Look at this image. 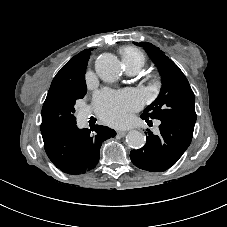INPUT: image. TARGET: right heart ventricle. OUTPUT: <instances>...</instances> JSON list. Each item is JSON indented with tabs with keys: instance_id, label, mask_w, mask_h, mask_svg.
<instances>
[{
	"instance_id": "right-heart-ventricle-1",
	"label": "right heart ventricle",
	"mask_w": 227,
	"mask_h": 227,
	"mask_svg": "<svg viewBox=\"0 0 227 227\" xmlns=\"http://www.w3.org/2000/svg\"><path fill=\"white\" fill-rule=\"evenodd\" d=\"M120 53L125 67H134L140 70L146 63L145 54L135 47H125Z\"/></svg>"
}]
</instances>
